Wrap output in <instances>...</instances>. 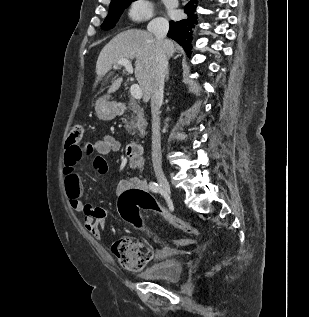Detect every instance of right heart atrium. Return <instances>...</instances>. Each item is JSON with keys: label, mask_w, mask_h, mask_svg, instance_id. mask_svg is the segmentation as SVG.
<instances>
[{"label": "right heart atrium", "mask_w": 309, "mask_h": 317, "mask_svg": "<svg viewBox=\"0 0 309 317\" xmlns=\"http://www.w3.org/2000/svg\"><path fill=\"white\" fill-rule=\"evenodd\" d=\"M128 16L133 21L148 20L154 16L150 0H133L128 8Z\"/></svg>", "instance_id": "obj_1"}]
</instances>
